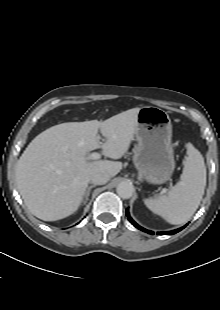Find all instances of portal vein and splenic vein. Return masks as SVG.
I'll list each match as a JSON object with an SVG mask.
<instances>
[{"mask_svg": "<svg viewBox=\"0 0 220 310\" xmlns=\"http://www.w3.org/2000/svg\"><path fill=\"white\" fill-rule=\"evenodd\" d=\"M89 158L92 160H97V159L101 158V155L99 153L93 152L89 155ZM164 193H165V191H164Z\"/></svg>", "mask_w": 220, "mask_h": 310, "instance_id": "18ae733b", "label": "portal vein and splenic vein"}]
</instances>
